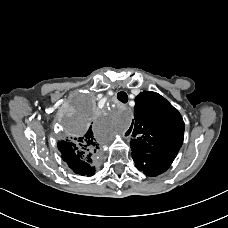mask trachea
Masks as SVG:
<instances>
[{
  "instance_id": "trachea-1",
  "label": "trachea",
  "mask_w": 228,
  "mask_h": 228,
  "mask_svg": "<svg viewBox=\"0 0 228 228\" xmlns=\"http://www.w3.org/2000/svg\"><path fill=\"white\" fill-rule=\"evenodd\" d=\"M117 99L122 103H127L128 95L125 92L121 91L117 94Z\"/></svg>"
}]
</instances>
